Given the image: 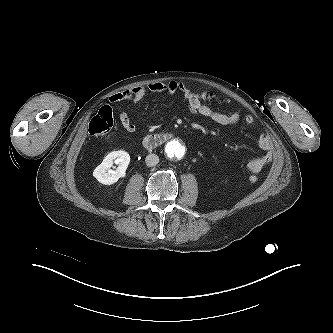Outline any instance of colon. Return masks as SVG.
Wrapping results in <instances>:
<instances>
[{
  "instance_id": "colon-1",
  "label": "colon",
  "mask_w": 333,
  "mask_h": 333,
  "mask_svg": "<svg viewBox=\"0 0 333 333\" xmlns=\"http://www.w3.org/2000/svg\"><path fill=\"white\" fill-rule=\"evenodd\" d=\"M113 126V112L109 106H103L89 123V132L95 136L107 134ZM249 181L256 183L258 177L250 175Z\"/></svg>"
}]
</instances>
